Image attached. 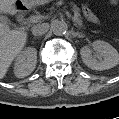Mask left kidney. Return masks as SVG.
<instances>
[{
	"mask_svg": "<svg viewBox=\"0 0 119 119\" xmlns=\"http://www.w3.org/2000/svg\"><path fill=\"white\" fill-rule=\"evenodd\" d=\"M91 46L94 51L103 57V60L99 61L92 56L90 46H83L80 50L81 58L84 64L89 68L101 71L110 69L119 63V54L109 43L96 40Z\"/></svg>",
	"mask_w": 119,
	"mask_h": 119,
	"instance_id": "1",
	"label": "left kidney"
}]
</instances>
